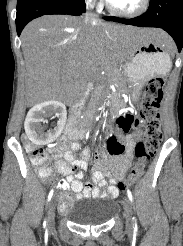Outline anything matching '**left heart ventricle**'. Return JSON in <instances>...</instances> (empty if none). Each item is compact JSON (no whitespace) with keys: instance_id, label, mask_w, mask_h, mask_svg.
I'll use <instances>...</instances> for the list:
<instances>
[{"instance_id":"1","label":"left heart ventricle","mask_w":183,"mask_h":246,"mask_svg":"<svg viewBox=\"0 0 183 246\" xmlns=\"http://www.w3.org/2000/svg\"><path fill=\"white\" fill-rule=\"evenodd\" d=\"M116 9L122 11H131L136 9L141 0H108Z\"/></svg>"}]
</instances>
